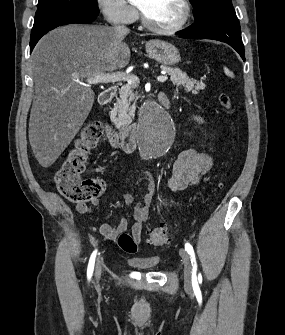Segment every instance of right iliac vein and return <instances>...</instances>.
Wrapping results in <instances>:
<instances>
[{"label": "right iliac vein", "instance_id": "right-iliac-vein-1", "mask_svg": "<svg viewBox=\"0 0 285 335\" xmlns=\"http://www.w3.org/2000/svg\"><path fill=\"white\" fill-rule=\"evenodd\" d=\"M101 276V269H100V266H97V270H96V277L97 279H99Z\"/></svg>", "mask_w": 285, "mask_h": 335}]
</instances>
